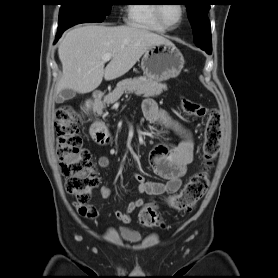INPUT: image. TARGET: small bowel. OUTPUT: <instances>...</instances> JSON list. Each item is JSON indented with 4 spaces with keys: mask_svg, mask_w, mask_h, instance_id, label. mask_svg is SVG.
Wrapping results in <instances>:
<instances>
[{
    "mask_svg": "<svg viewBox=\"0 0 278 278\" xmlns=\"http://www.w3.org/2000/svg\"><path fill=\"white\" fill-rule=\"evenodd\" d=\"M144 117L149 122H158L173 130L179 137L177 145L169 147L163 143L156 144L149 154V162L153 171L164 178L166 182H155L146 179L142 174L136 173L135 179L138 182V191L150 197L163 194L176 193L182 185V177L186 173L187 166L194 159V141L188 129L174 120L165 110L161 109L152 99H146L142 106ZM100 168L106 169L110 165L107 156L98 158ZM112 190L107 185L100 187V195L108 198ZM145 200L142 198L130 202L124 211H117L116 217L124 224L131 221V214L143 207ZM75 208L84 217L95 219L99 213L94 205L75 203Z\"/></svg>",
    "mask_w": 278,
    "mask_h": 278,
    "instance_id": "1",
    "label": "small bowel"
}]
</instances>
